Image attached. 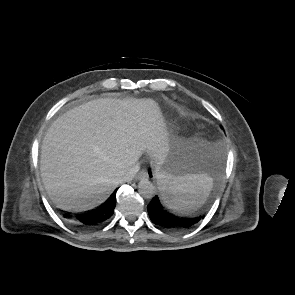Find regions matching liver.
Here are the masks:
<instances>
[{"instance_id": "liver-1", "label": "liver", "mask_w": 295, "mask_h": 295, "mask_svg": "<svg viewBox=\"0 0 295 295\" xmlns=\"http://www.w3.org/2000/svg\"><path fill=\"white\" fill-rule=\"evenodd\" d=\"M145 151L156 167L171 151L154 100H92L67 111L47 130L41 148L42 181L58 207L93 209L124 182Z\"/></svg>"}]
</instances>
